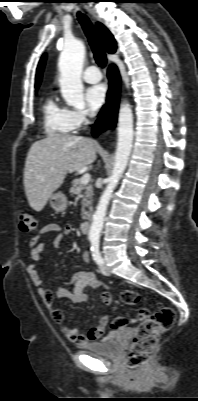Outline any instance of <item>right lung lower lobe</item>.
I'll return each instance as SVG.
<instances>
[{"instance_id": "98d812e1", "label": "right lung lower lobe", "mask_w": 198, "mask_h": 401, "mask_svg": "<svg viewBox=\"0 0 198 401\" xmlns=\"http://www.w3.org/2000/svg\"><path fill=\"white\" fill-rule=\"evenodd\" d=\"M108 78L109 91L107 94V104L103 106L99 114V118L92 129V134L95 137L100 132L113 128L117 120L120 76L116 66H109Z\"/></svg>"}]
</instances>
